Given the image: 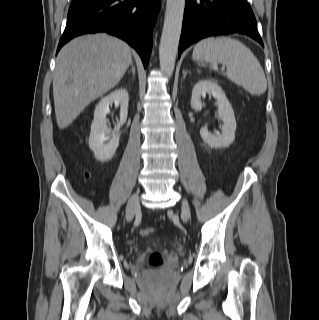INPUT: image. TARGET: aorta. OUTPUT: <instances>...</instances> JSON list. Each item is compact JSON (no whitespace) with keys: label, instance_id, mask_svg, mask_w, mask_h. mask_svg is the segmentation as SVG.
<instances>
[{"label":"aorta","instance_id":"762f6f07","mask_svg":"<svg viewBox=\"0 0 319 320\" xmlns=\"http://www.w3.org/2000/svg\"><path fill=\"white\" fill-rule=\"evenodd\" d=\"M185 0H167L164 25L159 45L160 68L171 76L181 35Z\"/></svg>","mask_w":319,"mask_h":320}]
</instances>
